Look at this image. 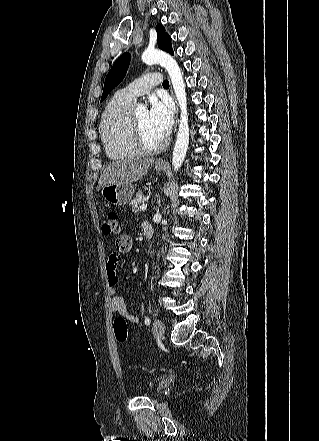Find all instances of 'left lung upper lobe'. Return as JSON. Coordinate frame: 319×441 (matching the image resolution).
I'll list each match as a JSON object with an SVG mask.
<instances>
[{"instance_id": "5c2ea615", "label": "left lung upper lobe", "mask_w": 319, "mask_h": 441, "mask_svg": "<svg viewBox=\"0 0 319 441\" xmlns=\"http://www.w3.org/2000/svg\"><path fill=\"white\" fill-rule=\"evenodd\" d=\"M156 28L158 47L161 50L173 55L174 53L171 45V38L168 33L165 32V28L160 24H158ZM130 59L131 55L129 53H124L113 64L105 79L101 101H103L107 95L123 80L129 67Z\"/></svg>"}]
</instances>
